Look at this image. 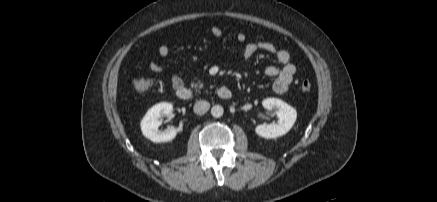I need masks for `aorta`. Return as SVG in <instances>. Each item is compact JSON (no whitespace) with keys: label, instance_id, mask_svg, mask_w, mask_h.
I'll return each instance as SVG.
<instances>
[{"label":"aorta","instance_id":"obj_1","mask_svg":"<svg viewBox=\"0 0 437 202\" xmlns=\"http://www.w3.org/2000/svg\"><path fill=\"white\" fill-rule=\"evenodd\" d=\"M224 113V109L221 105H215L211 108V115L215 118H220Z\"/></svg>","mask_w":437,"mask_h":202}]
</instances>
